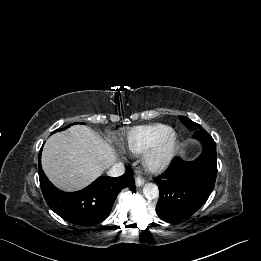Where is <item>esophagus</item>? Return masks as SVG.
Instances as JSON below:
<instances>
[{
  "label": "esophagus",
  "mask_w": 261,
  "mask_h": 261,
  "mask_svg": "<svg viewBox=\"0 0 261 261\" xmlns=\"http://www.w3.org/2000/svg\"><path fill=\"white\" fill-rule=\"evenodd\" d=\"M144 182H145V180L143 179V178H141V177H137L136 179H135V184H136V186H142L143 184H144Z\"/></svg>",
  "instance_id": "34e87169"
}]
</instances>
